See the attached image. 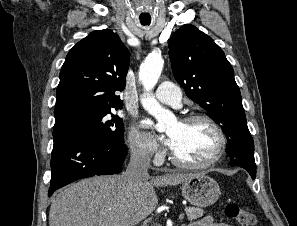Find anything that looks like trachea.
Instances as JSON below:
<instances>
[{"instance_id":"trachea-1","label":"trachea","mask_w":297,"mask_h":226,"mask_svg":"<svg viewBox=\"0 0 297 226\" xmlns=\"http://www.w3.org/2000/svg\"><path fill=\"white\" fill-rule=\"evenodd\" d=\"M142 25H149L150 23L141 22Z\"/></svg>"}]
</instances>
